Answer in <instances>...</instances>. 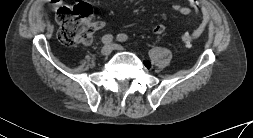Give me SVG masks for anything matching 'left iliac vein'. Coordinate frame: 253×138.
<instances>
[{"label":"left iliac vein","instance_id":"4c4485c4","mask_svg":"<svg viewBox=\"0 0 253 138\" xmlns=\"http://www.w3.org/2000/svg\"><path fill=\"white\" fill-rule=\"evenodd\" d=\"M114 50H124V47L119 44H112Z\"/></svg>","mask_w":253,"mask_h":138}]
</instances>
